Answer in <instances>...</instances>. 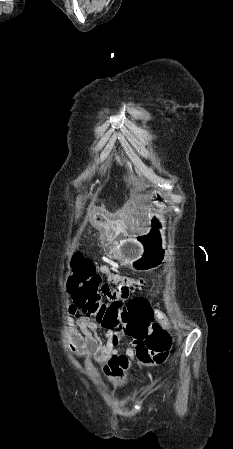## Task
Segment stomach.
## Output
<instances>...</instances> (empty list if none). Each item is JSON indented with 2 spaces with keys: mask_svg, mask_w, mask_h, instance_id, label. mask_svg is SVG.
<instances>
[{
  "mask_svg": "<svg viewBox=\"0 0 233 449\" xmlns=\"http://www.w3.org/2000/svg\"><path fill=\"white\" fill-rule=\"evenodd\" d=\"M158 200V199H157ZM163 205V203H160ZM91 221L101 227H105L107 237L104 243L106 253L128 266L134 271L149 272L157 269L167 256L165 219L161 211L150 214V227L141 236L112 238L131 236L133 231L128 229L127 224L121 225V230L117 229L119 221H137V212H92ZM135 232H142L144 225L135 223Z\"/></svg>",
  "mask_w": 233,
  "mask_h": 449,
  "instance_id": "stomach-1",
  "label": "stomach"
}]
</instances>
